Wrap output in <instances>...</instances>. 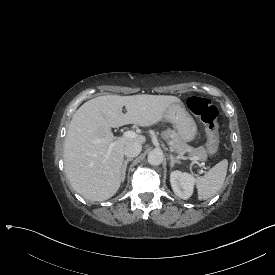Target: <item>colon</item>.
Segmentation results:
<instances>
[{"label": "colon", "mask_w": 275, "mask_h": 275, "mask_svg": "<svg viewBox=\"0 0 275 275\" xmlns=\"http://www.w3.org/2000/svg\"><path fill=\"white\" fill-rule=\"evenodd\" d=\"M187 107L204 124L207 134V151L210 155H214L219 147L218 108L207 99L196 96L188 99Z\"/></svg>", "instance_id": "colon-1"}]
</instances>
